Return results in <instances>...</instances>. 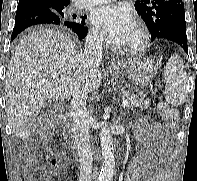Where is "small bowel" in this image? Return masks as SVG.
I'll return each mask as SVG.
<instances>
[{
	"label": "small bowel",
	"mask_w": 197,
	"mask_h": 181,
	"mask_svg": "<svg viewBox=\"0 0 197 181\" xmlns=\"http://www.w3.org/2000/svg\"><path fill=\"white\" fill-rule=\"evenodd\" d=\"M172 130L161 132L157 123L141 121L135 129L137 155L126 170L124 181H171L173 177Z\"/></svg>",
	"instance_id": "small-bowel-1"
}]
</instances>
